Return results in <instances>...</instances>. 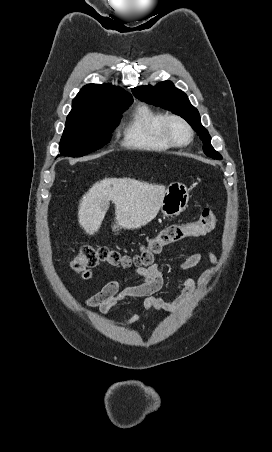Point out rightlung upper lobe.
Wrapping results in <instances>:
<instances>
[{
	"instance_id": "1",
	"label": "right lung upper lobe",
	"mask_w": 272,
	"mask_h": 452,
	"mask_svg": "<svg viewBox=\"0 0 272 452\" xmlns=\"http://www.w3.org/2000/svg\"><path fill=\"white\" fill-rule=\"evenodd\" d=\"M133 98L120 87L109 84L85 85L72 101L67 120L93 116L104 109L132 103Z\"/></svg>"
}]
</instances>
